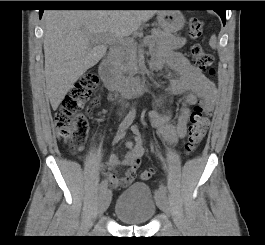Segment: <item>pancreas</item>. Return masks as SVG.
Segmentation results:
<instances>
[{
    "mask_svg": "<svg viewBox=\"0 0 265 245\" xmlns=\"http://www.w3.org/2000/svg\"><path fill=\"white\" fill-rule=\"evenodd\" d=\"M149 39L148 46L156 48L158 50L171 51L182 48L185 43V38L175 37L170 33H166L160 29H153ZM137 55L136 47L134 44H129L127 48L126 62L124 64V70L133 74L136 71Z\"/></svg>",
    "mask_w": 265,
    "mask_h": 245,
    "instance_id": "cf45deb5",
    "label": "pancreas"
}]
</instances>
